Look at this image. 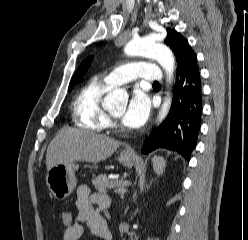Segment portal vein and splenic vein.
<instances>
[{
	"label": "portal vein and splenic vein",
	"mask_w": 248,
	"mask_h": 240,
	"mask_svg": "<svg viewBox=\"0 0 248 240\" xmlns=\"http://www.w3.org/2000/svg\"><path fill=\"white\" fill-rule=\"evenodd\" d=\"M125 185H130V182L128 181H122ZM116 183H118V181H116Z\"/></svg>",
	"instance_id": "18ae733b"
}]
</instances>
